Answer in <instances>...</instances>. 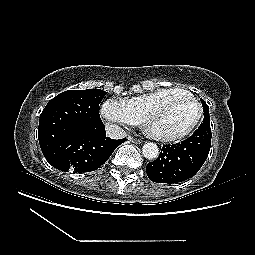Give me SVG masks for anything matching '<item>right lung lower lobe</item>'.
I'll return each mask as SVG.
<instances>
[{
    "label": "right lung lower lobe",
    "mask_w": 255,
    "mask_h": 255,
    "mask_svg": "<svg viewBox=\"0 0 255 255\" xmlns=\"http://www.w3.org/2000/svg\"><path fill=\"white\" fill-rule=\"evenodd\" d=\"M126 139L106 137L104 124L99 129H74L43 152L51 166L64 172H91L103 165Z\"/></svg>",
    "instance_id": "obj_1"
}]
</instances>
